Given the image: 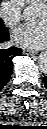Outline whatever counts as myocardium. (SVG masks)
<instances>
[{
	"label": "myocardium",
	"instance_id": "1",
	"mask_svg": "<svg viewBox=\"0 0 47 129\" xmlns=\"http://www.w3.org/2000/svg\"><path fill=\"white\" fill-rule=\"evenodd\" d=\"M40 6L44 7L45 10L47 9V0H44L41 4H39Z\"/></svg>",
	"mask_w": 47,
	"mask_h": 129
}]
</instances>
